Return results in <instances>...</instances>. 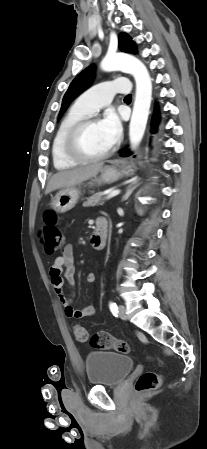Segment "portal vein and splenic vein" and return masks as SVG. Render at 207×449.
Instances as JSON below:
<instances>
[{"mask_svg": "<svg viewBox=\"0 0 207 449\" xmlns=\"http://www.w3.org/2000/svg\"><path fill=\"white\" fill-rule=\"evenodd\" d=\"M118 194H120V190H115V191L111 192L110 194H108L106 198L110 199V198L117 196Z\"/></svg>", "mask_w": 207, "mask_h": 449, "instance_id": "1", "label": "portal vein and splenic vein"}]
</instances>
